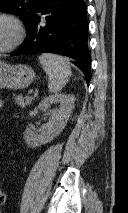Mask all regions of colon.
<instances>
[{
  "instance_id": "colon-1",
  "label": "colon",
  "mask_w": 128,
  "mask_h": 213,
  "mask_svg": "<svg viewBox=\"0 0 128 213\" xmlns=\"http://www.w3.org/2000/svg\"><path fill=\"white\" fill-rule=\"evenodd\" d=\"M6 202V194L5 192L0 188V205L4 204Z\"/></svg>"
}]
</instances>
